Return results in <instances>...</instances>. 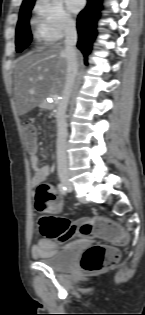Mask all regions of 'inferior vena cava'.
<instances>
[{"label": "inferior vena cava", "instance_id": "inferior-vena-cava-1", "mask_svg": "<svg viewBox=\"0 0 145 315\" xmlns=\"http://www.w3.org/2000/svg\"><path fill=\"white\" fill-rule=\"evenodd\" d=\"M77 30L73 22H68L65 28L66 77L62 91V99L57 110V171L61 180L69 178L68 158H67V123L65 114L70 95L73 90L75 78L78 71V59L76 51Z\"/></svg>", "mask_w": 145, "mask_h": 315}]
</instances>
